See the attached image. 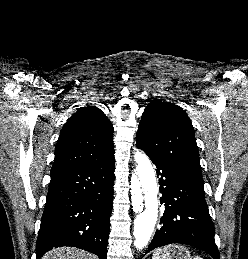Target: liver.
<instances>
[{
    "mask_svg": "<svg viewBox=\"0 0 248 259\" xmlns=\"http://www.w3.org/2000/svg\"><path fill=\"white\" fill-rule=\"evenodd\" d=\"M42 259H97L94 255L73 247L54 248Z\"/></svg>",
    "mask_w": 248,
    "mask_h": 259,
    "instance_id": "liver-1",
    "label": "liver"
}]
</instances>
